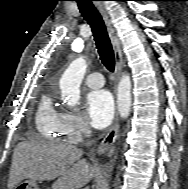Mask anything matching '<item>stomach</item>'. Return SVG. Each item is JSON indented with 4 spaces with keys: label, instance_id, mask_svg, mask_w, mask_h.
<instances>
[{
    "label": "stomach",
    "instance_id": "1",
    "mask_svg": "<svg viewBox=\"0 0 188 189\" xmlns=\"http://www.w3.org/2000/svg\"><path fill=\"white\" fill-rule=\"evenodd\" d=\"M14 189H40L37 182L35 180H25L15 186Z\"/></svg>",
    "mask_w": 188,
    "mask_h": 189
}]
</instances>
